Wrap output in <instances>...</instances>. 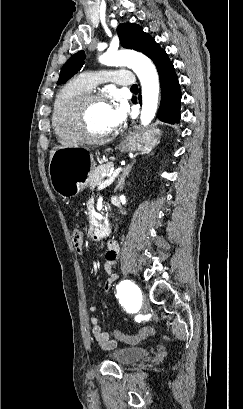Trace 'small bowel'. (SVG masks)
Instances as JSON below:
<instances>
[{"label":"small bowel","mask_w":243,"mask_h":409,"mask_svg":"<svg viewBox=\"0 0 243 409\" xmlns=\"http://www.w3.org/2000/svg\"><path fill=\"white\" fill-rule=\"evenodd\" d=\"M117 256H118V246L115 242H111L109 244V251L106 254V262L104 265V270L107 275L106 282L104 285V293L106 295L110 293L113 282L116 281L118 278V274L115 271ZM104 304L105 303L92 305L90 307V311L95 312ZM91 326H92V336L95 342L97 343L98 347L104 350H110L116 347L117 340L110 339L109 335L101 330L99 320L96 316L91 317ZM147 338L148 337L141 338L138 341H135L133 343H137V342L146 340Z\"/></svg>","instance_id":"c3829d8e"}]
</instances>
